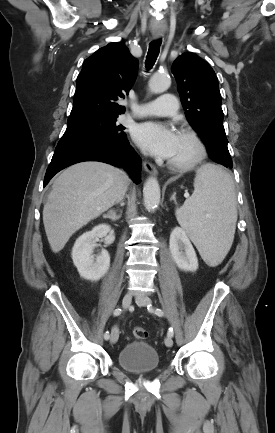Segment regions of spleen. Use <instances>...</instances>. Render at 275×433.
I'll return each instance as SVG.
<instances>
[{
	"label": "spleen",
	"instance_id": "obj_1",
	"mask_svg": "<svg viewBox=\"0 0 275 433\" xmlns=\"http://www.w3.org/2000/svg\"><path fill=\"white\" fill-rule=\"evenodd\" d=\"M176 218L204 261L210 266L221 263L231 248L237 221L231 176L216 165L201 166L194 192L176 210Z\"/></svg>",
	"mask_w": 275,
	"mask_h": 433
}]
</instances>
